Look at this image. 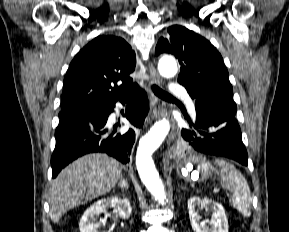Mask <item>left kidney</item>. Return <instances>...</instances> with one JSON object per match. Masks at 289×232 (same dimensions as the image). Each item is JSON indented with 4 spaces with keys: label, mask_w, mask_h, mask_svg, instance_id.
Wrapping results in <instances>:
<instances>
[{
    "label": "left kidney",
    "mask_w": 289,
    "mask_h": 232,
    "mask_svg": "<svg viewBox=\"0 0 289 232\" xmlns=\"http://www.w3.org/2000/svg\"><path fill=\"white\" fill-rule=\"evenodd\" d=\"M211 212V219L202 220L200 213ZM189 218L194 232H228V221L223 206L208 198L191 197L188 200Z\"/></svg>",
    "instance_id": "left-kidney-1"
}]
</instances>
